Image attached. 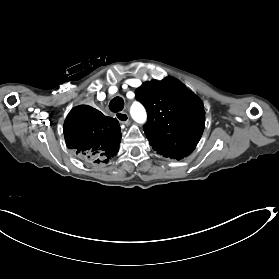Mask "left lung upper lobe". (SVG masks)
Segmentation results:
<instances>
[{
  "label": "left lung upper lobe",
  "mask_w": 279,
  "mask_h": 279,
  "mask_svg": "<svg viewBox=\"0 0 279 279\" xmlns=\"http://www.w3.org/2000/svg\"><path fill=\"white\" fill-rule=\"evenodd\" d=\"M136 99L147 110L144 132L158 154L180 160L195 149L204 129V109L184 85L172 77L145 82Z\"/></svg>",
  "instance_id": "5c2ea615"
}]
</instances>
